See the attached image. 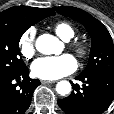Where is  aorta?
Here are the masks:
<instances>
[{"instance_id":"obj_1","label":"aorta","mask_w":114,"mask_h":114,"mask_svg":"<svg viewBox=\"0 0 114 114\" xmlns=\"http://www.w3.org/2000/svg\"><path fill=\"white\" fill-rule=\"evenodd\" d=\"M62 43L50 34H43L36 40V49L42 54L60 52ZM56 91L60 95H67L71 92V84L68 81H60L56 85Z\"/></svg>"}]
</instances>
